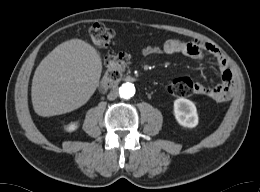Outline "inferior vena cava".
Masks as SVG:
<instances>
[{"label": "inferior vena cava", "instance_id": "inferior-vena-cava-1", "mask_svg": "<svg viewBox=\"0 0 260 192\" xmlns=\"http://www.w3.org/2000/svg\"><path fill=\"white\" fill-rule=\"evenodd\" d=\"M117 97H118V91H117V90H112V91L108 94V96H107V98H108L109 100H115Z\"/></svg>", "mask_w": 260, "mask_h": 192}]
</instances>
